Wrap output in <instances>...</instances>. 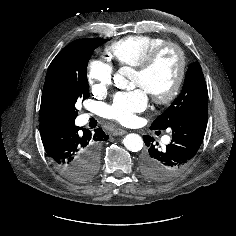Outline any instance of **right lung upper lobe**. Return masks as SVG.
<instances>
[{
	"mask_svg": "<svg viewBox=\"0 0 236 236\" xmlns=\"http://www.w3.org/2000/svg\"><path fill=\"white\" fill-rule=\"evenodd\" d=\"M49 120H62L54 109L50 106L48 101L42 95L41 106H40V123Z\"/></svg>",
	"mask_w": 236,
	"mask_h": 236,
	"instance_id": "1",
	"label": "right lung upper lobe"
}]
</instances>
